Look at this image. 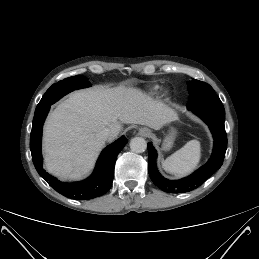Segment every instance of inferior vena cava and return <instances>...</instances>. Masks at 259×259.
<instances>
[{
  "label": "inferior vena cava",
  "mask_w": 259,
  "mask_h": 259,
  "mask_svg": "<svg viewBox=\"0 0 259 259\" xmlns=\"http://www.w3.org/2000/svg\"><path fill=\"white\" fill-rule=\"evenodd\" d=\"M97 136L103 140H107L111 136V130L109 128H104Z\"/></svg>",
  "instance_id": "602c4592"
}]
</instances>
